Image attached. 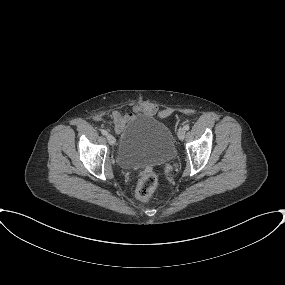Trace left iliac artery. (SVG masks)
I'll return each mask as SVG.
<instances>
[{
    "label": "left iliac artery",
    "instance_id": "44dca946",
    "mask_svg": "<svg viewBox=\"0 0 285 285\" xmlns=\"http://www.w3.org/2000/svg\"><path fill=\"white\" fill-rule=\"evenodd\" d=\"M189 128H190V126L188 124L184 126L185 130H189Z\"/></svg>",
    "mask_w": 285,
    "mask_h": 285
}]
</instances>
